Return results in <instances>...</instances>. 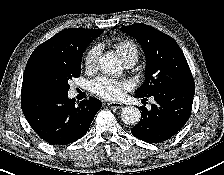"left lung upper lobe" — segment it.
<instances>
[{
	"mask_svg": "<svg viewBox=\"0 0 224 175\" xmlns=\"http://www.w3.org/2000/svg\"><path fill=\"white\" fill-rule=\"evenodd\" d=\"M135 37L146 57V80L136 95L149 97L166 86L194 87V80L177 42L152 26L135 23L121 28Z\"/></svg>",
	"mask_w": 224,
	"mask_h": 175,
	"instance_id": "5c2ea615",
	"label": "left lung upper lobe"
}]
</instances>
